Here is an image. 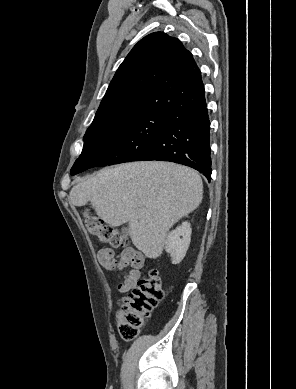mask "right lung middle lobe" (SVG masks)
Masks as SVG:
<instances>
[{"mask_svg":"<svg viewBox=\"0 0 296 389\" xmlns=\"http://www.w3.org/2000/svg\"><path fill=\"white\" fill-rule=\"evenodd\" d=\"M172 117L158 113L110 114L95 118L84 136L80 157L72 169L138 161L169 126Z\"/></svg>","mask_w":296,"mask_h":389,"instance_id":"right-lung-middle-lobe-1","label":"right lung middle lobe"}]
</instances>
